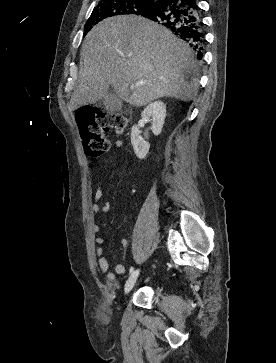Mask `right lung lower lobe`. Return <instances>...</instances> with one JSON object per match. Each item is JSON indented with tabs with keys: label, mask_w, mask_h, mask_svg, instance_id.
<instances>
[{
	"label": "right lung lower lobe",
	"mask_w": 276,
	"mask_h": 363,
	"mask_svg": "<svg viewBox=\"0 0 276 363\" xmlns=\"http://www.w3.org/2000/svg\"><path fill=\"white\" fill-rule=\"evenodd\" d=\"M141 16L163 25L188 42L201 59L204 34L197 0H158Z\"/></svg>",
	"instance_id": "1"
}]
</instances>
